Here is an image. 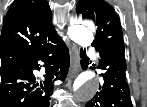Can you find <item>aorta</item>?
Segmentation results:
<instances>
[{
  "instance_id": "obj_1",
  "label": "aorta",
  "mask_w": 147,
  "mask_h": 107,
  "mask_svg": "<svg viewBox=\"0 0 147 107\" xmlns=\"http://www.w3.org/2000/svg\"><path fill=\"white\" fill-rule=\"evenodd\" d=\"M68 35L76 44L87 47L93 42L92 27L89 24H76L68 28ZM76 91L77 101L91 99L99 89V81L93 74L83 72L79 75L73 85Z\"/></svg>"
}]
</instances>
